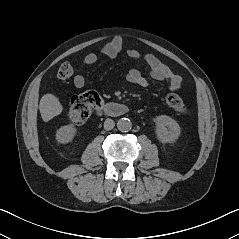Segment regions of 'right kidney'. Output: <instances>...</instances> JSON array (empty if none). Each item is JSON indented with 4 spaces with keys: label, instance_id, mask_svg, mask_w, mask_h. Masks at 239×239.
Listing matches in <instances>:
<instances>
[{
    "label": "right kidney",
    "instance_id": "1",
    "mask_svg": "<svg viewBox=\"0 0 239 239\" xmlns=\"http://www.w3.org/2000/svg\"><path fill=\"white\" fill-rule=\"evenodd\" d=\"M76 133V129L73 125H66L59 128L56 132V139L60 143L70 142Z\"/></svg>",
    "mask_w": 239,
    "mask_h": 239
}]
</instances>
